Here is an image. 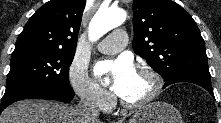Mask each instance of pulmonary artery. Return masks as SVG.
<instances>
[{
	"instance_id": "e3ab8cb5",
	"label": "pulmonary artery",
	"mask_w": 221,
	"mask_h": 123,
	"mask_svg": "<svg viewBox=\"0 0 221 123\" xmlns=\"http://www.w3.org/2000/svg\"><path fill=\"white\" fill-rule=\"evenodd\" d=\"M127 43V35L124 30L117 29L104 38L98 45L99 51L114 54L124 49Z\"/></svg>"
}]
</instances>
